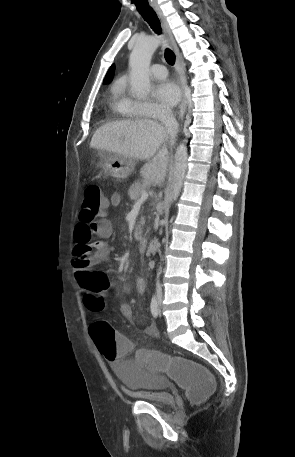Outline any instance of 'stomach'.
<instances>
[{
    "label": "stomach",
    "mask_w": 295,
    "mask_h": 457,
    "mask_svg": "<svg viewBox=\"0 0 295 457\" xmlns=\"http://www.w3.org/2000/svg\"><path fill=\"white\" fill-rule=\"evenodd\" d=\"M105 174L116 179H125L134 170L135 160L112 152L101 153Z\"/></svg>",
    "instance_id": "0dacf381"
}]
</instances>
